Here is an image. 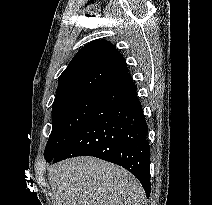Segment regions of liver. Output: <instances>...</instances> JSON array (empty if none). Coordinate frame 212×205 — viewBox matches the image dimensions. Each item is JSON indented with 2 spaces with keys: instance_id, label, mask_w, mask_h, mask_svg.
<instances>
[{
  "instance_id": "6515ba94",
  "label": "liver",
  "mask_w": 212,
  "mask_h": 205,
  "mask_svg": "<svg viewBox=\"0 0 212 205\" xmlns=\"http://www.w3.org/2000/svg\"><path fill=\"white\" fill-rule=\"evenodd\" d=\"M54 205H142L144 190L127 170L94 157L50 166Z\"/></svg>"
}]
</instances>
